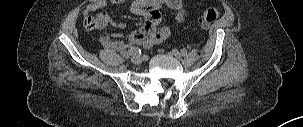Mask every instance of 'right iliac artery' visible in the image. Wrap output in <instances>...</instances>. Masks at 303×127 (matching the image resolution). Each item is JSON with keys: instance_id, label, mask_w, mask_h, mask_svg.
<instances>
[{"instance_id": "right-iliac-artery-1", "label": "right iliac artery", "mask_w": 303, "mask_h": 127, "mask_svg": "<svg viewBox=\"0 0 303 127\" xmlns=\"http://www.w3.org/2000/svg\"><path fill=\"white\" fill-rule=\"evenodd\" d=\"M126 53H127V55H137V54L141 53V50L137 47H134V48L129 49Z\"/></svg>"}]
</instances>
